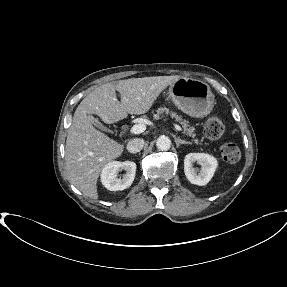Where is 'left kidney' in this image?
<instances>
[{
  "label": "left kidney",
  "instance_id": "1",
  "mask_svg": "<svg viewBox=\"0 0 287 287\" xmlns=\"http://www.w3.org/2000/svg\"><path fill=\"white\" fill-rule=\"evenodd\" d=\"M197 162L201 165L200 173H197L193 164ZM218 166L217 159L206 153H189L184 159V172L186 178L199 186L206 185L214 175Z\"/></svg>",
  "mask_w": 287,
  "mask_h": 287
}]
</instances>
